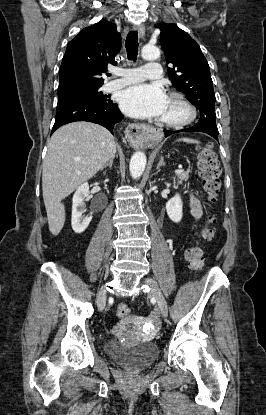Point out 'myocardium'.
I'll use <instances>...</instances> for the list:
<instances>
[{
  "label": "myocardium",
  "mask_w": 266,
  "mask_h": 415,
  "mask_svg": "<svg viewBox=\"0 0 266 415\" xmlns=\"http://www.w3.org/2000/svg\"><path fill=\"white\" fill-rule=\"evenodd\" d=\"M169 100L174 101L182 106L186 111V115L184 118L178 121H167L160 119L158 121L160 126L170 129H179L189 125L195 120L197 115L196 108L183 94L179 92H172L169 95Z\"/></svg>",
  "instance_id": "myocardium-1"
}]
</instances>
